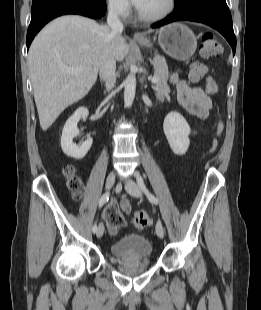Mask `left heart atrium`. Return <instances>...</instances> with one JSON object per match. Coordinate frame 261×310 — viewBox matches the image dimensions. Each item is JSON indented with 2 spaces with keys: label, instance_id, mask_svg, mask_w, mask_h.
<instances>
[{
  "label": "left heart atrium",
  "instance_id": "obj_1",
  "mask_svg": "<svg viewBox=\"0 0 261 310\" xmlns=\"http://www.w3.org/2000/svg\"><path fill=\"white\" fill-rule=\"evenodd\" d=\"M132 3L138 8L143 3V0H131Z\"/></svg>",
  "mask_w": 261,
  "mask_h": 310
}]
</instances>
